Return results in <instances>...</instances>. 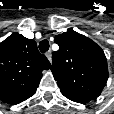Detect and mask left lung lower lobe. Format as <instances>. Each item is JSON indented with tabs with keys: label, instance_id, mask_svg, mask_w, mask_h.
<instances>
[{
	"label": "left lung lower lobe",
	"instance_id": "obj_1",
	"mask_svg": "<svg viewBox=\"0 0 114 114\" xmlns=\"http://www.w3.org/2000/svg\"><path fill=\"white\" fill-rule=\"evenodd\" d=\"M68 99L72 100V101H75V102H79V103H86L90 100H86V99H83V98H75V97H69V96H66Z\"/></svg>",
	"mask_w": 114,
	"mask_h": 114
}]
</instances>
